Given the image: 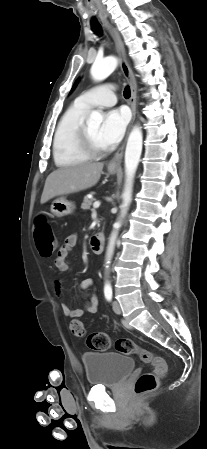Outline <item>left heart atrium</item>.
Listing matches in <instances>:
<instances>
[{"label": "left heart atrium", "mask_w": 207, "mask_h": 449, "mask_svg": "<svg viewBox=\"0 0 207 449\" xmlns=\"http://www.w3.org/2000/svg\"><path fill=\"white\" fill-rule=\"evenodd\" d=\"M129 122L128 112L118 108L106 113L100 126L99 138L105 147L117 144L123 137Z\"/></svg>", "instance_id": "obj_1"}]
</instances>
